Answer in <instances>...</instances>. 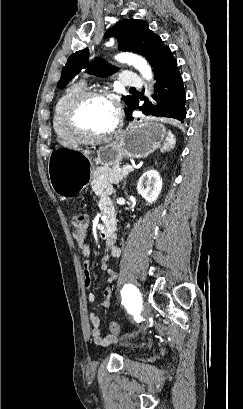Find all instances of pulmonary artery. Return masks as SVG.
Masks as SVG:
<instances>
[{"label": "pulmonary artery", "mask_w": 243, "mask_h": 409, "mask_svg": "<svg viewBox=\"0 0 243 409\" xmlns=\"http://www.w3.org/2000/svg\"><path fill=\"white\" fill-rule=\"evenodd\" d=\"M120 82L126 87H140L142 85L141 78L136 73L131 71L123 72Z\"/></svg>", "instance_id": "obj_1"}]
</instances>
